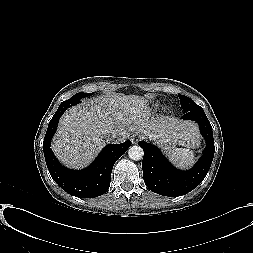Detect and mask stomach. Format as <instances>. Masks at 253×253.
<instances>
[{
	"label": "stomach",
	"mask_w": 253,
	"mask_h": 253,
	"mask_svg": "<svg viewBox=\"0 0 253 253\" xmlns=\"http://www.w3.org/2000/svg\"><path fill=\"white\" fill-rule=\"evenodd\" d=\"M177 145H179V142H176L174 140H169L165 143L160 144L161 148L168 154L171 150L175 149Z\"/></svg>",
	"instance_id": "0dacf381"
}]
</instances>
